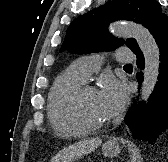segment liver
I'll list each match as a JSON object with an SVG mask.
<instances>
[{
	"label": "liver",
	"mask_w": 168,
	"mask_h": 162,
	"mask_svg": "<svg viewBox=\"0 0 168 162\" xmlns=\"http://www.w3.org/2000/svg\"><path fill=\"white\" fill-rule=\"evenodd\" d=\"M100 138L86 139L79 141L69 147L59 151L52 159L51 162H72L73 160L87 155L97 149L101 145Z\"/></svg>",
	"instance_id": "liver-1"
}]
</instances>
